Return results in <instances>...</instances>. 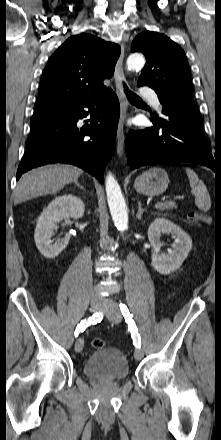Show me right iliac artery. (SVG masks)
I'll list each match as a JSON object with an SVG mask.
<instances>
[{"label": "right iliac artery", "mask_w": 221, "mask_h": 440, "mask_svg": "<svg viewBox=\"0 0 221 440\" xmlns=\"http://www.w3.org/2000/svg\"><path fill=\"white\" fill-rule=\"evenodd\" d=\"M103 319V312L99 311L94 313L91 317H89L87 320H82L80 324L77 325L76 330L74 332L75 337L79 335L80 332H83L86 327H88L91 324H95L97 322H100Z\"/></svg>", "instance_id": "1"}]
</instances>
